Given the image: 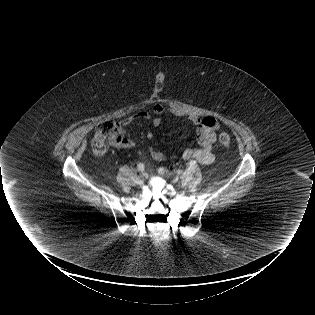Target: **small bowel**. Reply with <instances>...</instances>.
<instances>
[{
    "mask_svg": "<svg viewBox=\"0 0 315 315\" xmlns=\"http://www.w3.org/2000/svg\"><path fill=\"white\" fill-rule=\"evenodd\" d=\"M167 113H171L174 116L183 117L185 113L178 109H168L162 104H155L151 111H139L125 119L120 124L127 126L137 120H149L154 128L161 125V116ZM189 120L196 126L197 133V147L185 149L181 158L186 161H197L201 164H211L214 161V155L212 153L213 145L216 141V131L219 129L218 121L213 117L200 118L195 115H190ZM147 139L152 140L154 133L149 131L146 134ZM134 143L131 140L125 139L120 144V147L129 148ZM152 159L156 162H163L174 156L168 155L165 152L156 150L150 146L148 148Z\"/></svg>",
    "mask_w": 315,
    "mask_h": 315,
    "instance_id": "small-bowel-1",
    "label": "small bowel"
}]
</instances>
